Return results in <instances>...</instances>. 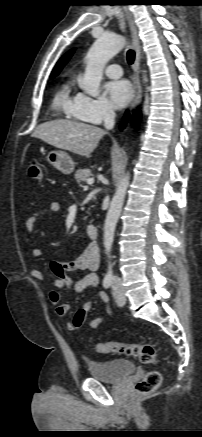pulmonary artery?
Returning <instances> with one entry per match:
<instances>
[{
    "instance_id": "e3ab8cb5",
    "label": "pulmonary artery",
    "mask_w": 202,
    "mask_h": 437,
    "mask_svg": "<svg viewBox=\"0 0 202 437\" xmlns=\"http://www.w3.org/2000/svg\"><path fill=\"white\" fill-rule=\"evenodd\" d=\"M105 74L110 78H119L122 76L123 71L120 65L110 64L105 68Z\"/></svg>"
}]
</instances>
